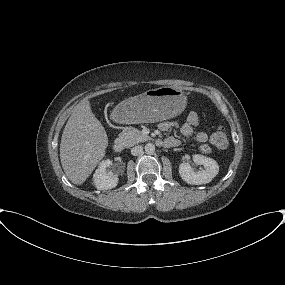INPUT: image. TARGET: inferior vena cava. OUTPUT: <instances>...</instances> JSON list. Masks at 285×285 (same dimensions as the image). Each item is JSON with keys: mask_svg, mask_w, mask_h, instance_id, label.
I'll return each instance as SVG.
<instances>
[{"mask_svg": "<svg viewBox=\"0 0 285 285\" xmlns=\"http://www.w3.org/2000/svg\"><path fill=\"white\" fill-rule=\"evenodd\" d=\"M131 154L134 156L143 154V147L138 145V146L131 148Z\"/></svg>", "mask_w": 285, "mask_h": 285, "instance_id": "inferior-vena-cava-1", "label": "inferior vena cava"}]
</instances>
